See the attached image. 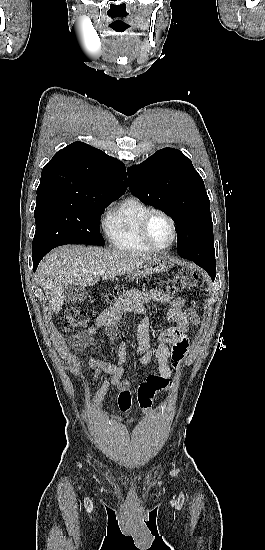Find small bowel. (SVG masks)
I'll list each match as a JSON object with an SVG mask.
<instances>
[{"instance_id": "c3829d8e", "label": "small bowel", "mask_w": 265, "mask_h": 550, "mask_svg": "<svg viewBox=\"0 0 265 550\" xmlns=\"http://www.w3.org/2000/svg\"><path fill=\"white\" fill-rule=\"evenodd\" d=\"M159 303L167 308V320L175 323L174 327L162 330L158 335L159 344L155 350L150 347V325L151 313L146 304ZM129 312L138 313L141 319L136 327L137 338V360L140 364H147L153 358L158 363L159 375L167 383V390L172 388L173 371L178 369L184 362L188 353L187 335L196 322V317L183 309V302L180 298L162 296L155 290L127 291L115 304L104 310L97 318L95 325L89 327L69 340V346L76 351H82L89 347L94 336L100 329H104L111 340L117 336L116 323ZM67 359L75 361L72 353H67ZM126 347L120 342L115 362H107L92 357L88 360L86 369L94 372H102L110 375L97 390L96 400L101 405L104 397L111 386L118 389V405L121 411L129 412L132 407L130 390L132 383L125 379Z\"/></svg>"}]
</instances>
